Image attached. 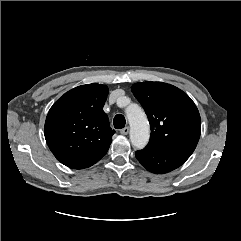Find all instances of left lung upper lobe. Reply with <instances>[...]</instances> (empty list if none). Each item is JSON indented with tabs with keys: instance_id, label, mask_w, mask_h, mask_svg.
Listing matches in <instances>:
<instances>
[{
	"instance_id": "obj_1",
	"label": "left lung upper lobe",
	"mask_w": 241,
	"mask_h": 241,
	"mask_svg": "<svg viewBox=\"0 0 241 241\" xmlns=\"http://www.w3.org/2000/svg\"><path fill=\"white\" fill-rule=\"evenodd\" d=\"M132 92L144 108L151 127L148 145L193 152L201 132L199 111L179 88L163 82H141Z\"/></svg>"
}]
</instances>
